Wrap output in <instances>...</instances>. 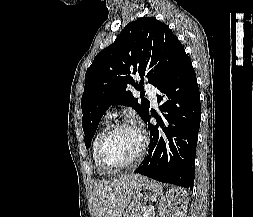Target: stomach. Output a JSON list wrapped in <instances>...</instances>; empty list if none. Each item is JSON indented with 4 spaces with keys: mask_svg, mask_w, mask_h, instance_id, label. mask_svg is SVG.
I'll list each match as a JSON object with an SVG mask.
<instances>
[{
    "mask_svg": "<svg viewBox=\"0 0 253 217\" xmlns=\"http://www.w3.org/2000/svg\"><path fill=\"white\" fill-rule=\"evenodd\" d=\"M161 194V184L148 178L140 180L133 190L131 203L120 217H131L135 212L140 210L142 205L150 200L157 199Z\"/></svg>",
    "mask_w": 253,
    "mask_h": 217,
    "instance_id": "obj_1",
    "label": "stomach"
}]
</instances>
